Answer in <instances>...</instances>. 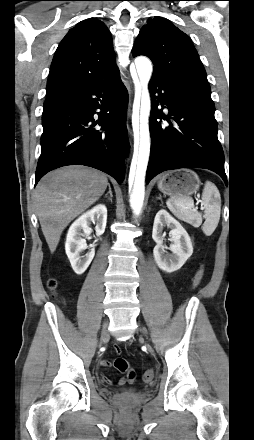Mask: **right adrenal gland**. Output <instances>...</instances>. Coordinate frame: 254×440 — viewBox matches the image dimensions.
Masks as SVG:
<instances>
[{
    "label": "right adrenal gland",
    "instance_id": "1",
    "mask_svg": "<svg viewBox=\"0 0 254 440\" xmlns=\"http://www.w3.org/2000/svg\"><path fill=\"white\" fill-rule=\"evenodd\" d=\"M108 189H109V191L105 194L104 197L107 198L109 195V200L112 202L113 194H112L111 186L109 183H108Z\"/></svg>",
    "mask_w": 254,
    "mask_h": 440
}]
</instances>
